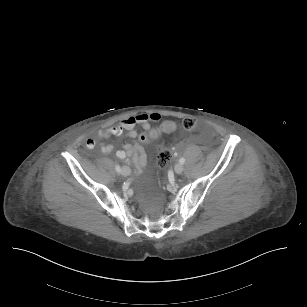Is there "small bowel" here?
<instances>
[{
    "label": "small bowel",
    "instance_id": "1",
    "mask_svg": "<svg viewBox=\"0 0 307 307\" xmlns=\"http://www.w3.org/2000/svg\"><path fill=\"white\" fill-rule=\"evenodd\" d=\"M160 117L161 116L158 113H139L128 116L118 125L100 131L98 136L108 138L111 136H121L126 133L129 138L136 139L138 137V133L135 131L137 125H140L143 129L151 127V123L159 121ZM95 145L96 141L94 139H88L86 141L87 148H93ZM101 151L105 154H110L113 151V146L111 144L102 145ZM116 155L121 160L129 159L130 163L137 170L143 169L149 161L144 147L137 142L134 144L124 145L122 149L116 152Z\"/></svg>",
    "mask_w": 307,
    "mask_h": 307
}]
</instances>
